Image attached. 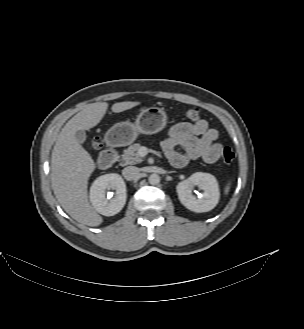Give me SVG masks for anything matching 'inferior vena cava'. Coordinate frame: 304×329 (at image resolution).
Masks as SVG:
<instances>
[{"mask_svg": "<svg viewBox=\"0 0 304 329\" xmlns=\"http://www.w3.org/2000/svg\"><path fill=\"white\" fill-rule=\"evenodd\" d=\"M138 174H139V168L135 166H128L122 170V175L126 180L129 181L135 179L138 176Z\"/></svg>", "mask_w": 304, "mask_h": 329, "instance_id": "obj_1", "label": "inferior vena cava"}]
</instances>
